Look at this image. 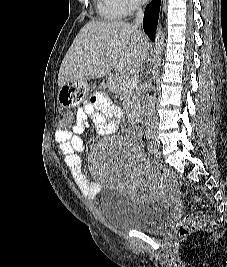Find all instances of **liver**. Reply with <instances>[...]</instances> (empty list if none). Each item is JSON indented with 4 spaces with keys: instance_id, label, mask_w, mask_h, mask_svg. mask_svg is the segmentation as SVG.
<instances>
[{
    "instance_id": "liver-1",
    "label": "liver",
    "mask_w": 227,
    "mask_h": 267,
    "mask_svg": "<svg viewBox=\"0 0 227 267\" xmlns=\"http://www.w3.org/2000/svg\"><path fill=\"white\" fill-rule=\"evenodd\" d=\"M149 40L125 21H90L68 49L58 75L64 82H87L113 69L126 72L140 67L148 55Z\"/></svg>"
}]
</instances>
